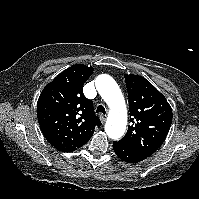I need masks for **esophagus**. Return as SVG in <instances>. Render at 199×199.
I'll return each instance as SVG.
<instances>
[{
	"instance_id": "34e87169",
	"label": "esophagus",
	"mask_w": 199,
	"mask_h": 199,
	"mask_svg": "<svg viewBox=\"0 0 199 199\" xmlns=\"http://www.w3.org/2000/svg\"><path fill=\"white\" fill-rule=\"evenodd\" d=\"M100 120L102 123H105L106 117L104 115H100Z\"/></svg>"
}]
</instances>
